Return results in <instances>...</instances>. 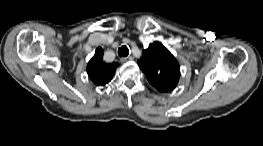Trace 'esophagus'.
<instances>
[{
	"label": "esophagus",
	"mask_w": 263,
	"mask_h": 146,
	"mask_svg": "<svg viewBox=\"0 0 263 146\" xmlns=\"http://www.w3.org/2000/svg\"><path fill=\"white\" fill-rule=\"evenodd\" d=\"M133 60V57L129 56V57H122L120 59L121 62H128V61H132Z\"/></svg>",
	"instance_id": "obj_1"
}]
</instances>
